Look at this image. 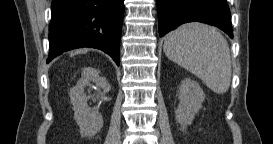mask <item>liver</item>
<instances>
[{
    "label": "liver",
    "instance_id": "1",
    "mask_svg": "<svg viewBox=\"0 0 273 144\" xmlns=\"http://www.w3.org/2000/svg\"><path fill=\"white\" fill-rule=\"evenodd\" d=\"M85 52H87V49L77 50L74 52V54L85 53Z\"/></svg>",
    "mask_w": 273,
    "mask_h": 144
}]
</instances>
